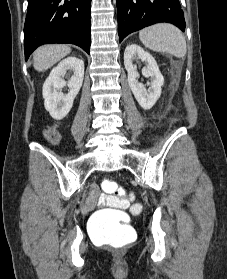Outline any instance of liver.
Masks as SVG:
<instances>
[{
	"instance_id": "6515ba94",
	"label": "liver",
	"mask_w": 227,
	"mask_h": 279,
	"mask_svg": "<svg viewBox=\"0 0 227 279\" xmlns=\"http://www.w3.org/2000/svg\"><path fill=\"white\" fill-rule=\"evenodd\" d=\"M70 52L71 48L68 45H44L34 52L33 66L39 72L45 71Z\"/></svg>"
}]
</instances>
